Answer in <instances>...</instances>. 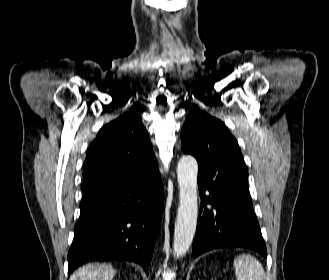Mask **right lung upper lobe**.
<instances>
[{
    "label": "right lung upper lobe",
    "instance_id": "cb5924a9",
    "mask_svg": "<svg viewBox=\"0 0 329 280\" xmlns=\"http://www.w3.org/2000/svg\"><path fill=\"white\" fill-rule=\"evenodd\" d=\"M158 172L141 117L128 112L104 125L87 150L84 191L110 180H133Z\"/></svg>",
    "mask_w": 329,
    "mask_h": 280
}]
</instances>
